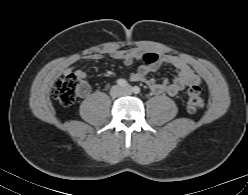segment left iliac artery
<instances>
[{
  "instance_id": "left-iliac-artery-1",
  "label": "left iliac artery",
  "mask_w": 248,
  "mask_h": 195,
  "mask_svg": "<svg viewBox=\"0 0 248 195\" xmlns=\"http://www.w3.org/2000/svg\"><path fill=\"white\" fill-rule=\"evenodd\" d=\"M132 91L135 93V94H139L140 93V88L138 86H134L132 88Z\"/></svg>"
}]
</instances>
